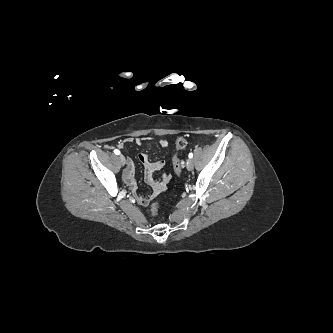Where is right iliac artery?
I'll use <instances>...</instances> for the list:
<instances>
[{
  "mask_svg": "<svg viewBox=\"0 0 333 333\" xmlns=\"http://www.w3.org/2000/svg\"><path fill=\"white\" fill-rule=\"evenodd\" d=\"M114 153H115L116 155H119V154H120V151H119L118 149H115V150H114Z\"/></svg>",
  "mask_w": 333,
  "mask_h": 333,
  "instance_id": "obj_1",
  "label": "right iliac artery"
}]
</instances>
